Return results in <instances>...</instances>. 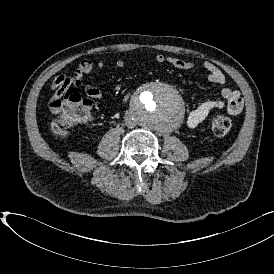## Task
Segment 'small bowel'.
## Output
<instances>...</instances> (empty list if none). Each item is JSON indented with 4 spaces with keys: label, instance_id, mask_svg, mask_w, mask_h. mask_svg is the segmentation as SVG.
<instances>
[{
    "label": "small bowel",
    "instance_id": "1",
    "mask_svg": "<svg viewBox=\"0 0 274 274\" xmlns=\"http://www.w3.org/2000/svg\"><path fill=\"white\" fill-rule=\"evenodd\" d=\"M155 61L159 64H169L182 70H191L196 67V64L192 61H186L164 54H157L155 56ZM115 66L118 69H122L125 66V61L118 59L115 62ZM202 66L206 71L207 78L210 82L220 85L226 84L227 77L215 64L205 61ZM105 67L106 64L104 61L93 63L88 59L82 60L72 77L60 75L55 78L51 84V91L53 92L54 98L60 100L67 90L81 88L87 97L94 100H101L103 97L102 91L98 87L85 82V77L92 75L95 69L103 70ZM129 96L130 93H127L124 96V102L129 99ZM222 97L223 99L206 100L192 110L186 120L187 127L191 130L196 129L215 111L225 110L231 115H237L243 110L244 102L238 90L231 87H224L222 89ZM87 101L90 102L89 100Z\"/></svg>",
    "mask_w": 274,
    "mask_h": 274
}]
</instances>
